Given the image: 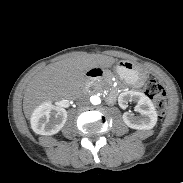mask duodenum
Listing matches in <instances>:
<instances>
[{"instance_id": "410a0bca", "label": "duodenum", "mask_w": 183, "mask_h": 183, "mask_svg": "<svg viewBox=\"0 0 183 183\" xmlns=\"http://www.w3.org/2000/svg\"><path fill=\"white\" fill-rule=\"evenodd\" d=\"M103 74H104V71H103V69L100 68V67H93V68H90V69L87 71V73H86L87 78H88L90 81H96V80H98L99 78H101V77L103 76ZM108 100H109V101H112V100H113V96L110 95V96L108 97Z\"/></svg>"}]
</instances>
